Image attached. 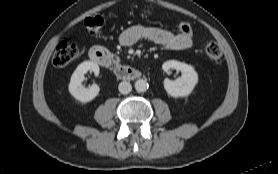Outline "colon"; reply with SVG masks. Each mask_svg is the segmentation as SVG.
<instances>
[{"instance_id": "colon-1", "label": "colon", "mask_w": 278, "mask_h": 174, "mask_svg": "<svg viewBox=\"0 0 278 174\" xmlns=\"http://www.w3.org/2000/svg\"><path fill=\"white\" fill-rule=\"evenodd\" d=\"M104 22L105 21L102 16L96 15L86 18L84 24L88 31L94 33L103 26ZM178 30L183 35L192 36V28L190 24L186 22L180 23ZM78 55V46L68 40H63L57 45L53 53L52 62L56 67H64L75 60ZM205 55L210 61L219 63L222 59V49L219 44L214 41H210L205 46Z\"/></svg>"}]
</instances>
